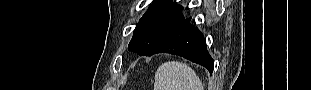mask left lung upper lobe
<instances>
[{"label": "left lung upper lobe", "instance_id": "left-lung-upper-lobe-1", "mask_svg": "<svg viewBox=\"0 0 311 90\" xmlns=\"http://www.w3.org/2000/svg\"><path fill=\"white\" fill-rule=\"evenodd\" d=\"M181 10L182 6L173 4L171 0H154L137 24L128 49L148 56L169 31L183 20Z\"/></svg>", "mask_w": 311, "mask_h": 90}]
</instances>
